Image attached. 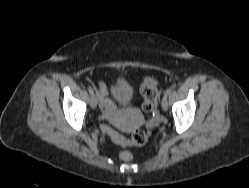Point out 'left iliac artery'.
I'll use <instances>...</instances> for the list:
<instances>
[{"label": "left iliac artery", "mask_w": 249, "mask_h": 188, "mask_svg": "<svg viewBox=\"0 0 249 188\" xmlns=\"http://www.w3.org/2000/svg\"><path fill=\"white\" fill-rule=\"evenodd\" d=\"M173 92V88L170 87L169 89L166 90L165 95L169 96Z\"/></svg>", "instance_id": "44dca946"}]
</instances>
